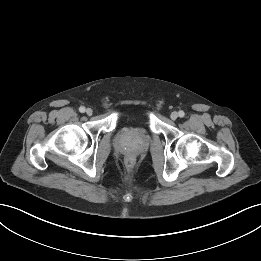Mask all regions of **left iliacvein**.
<instances>
[{"label": "left iliac vein", "instance_id": "1", "mask_svg": "<svg viewBox=\"0 0 261 261\" xmlns=\"http://www.w3.org/2000/svg\"><path fill=\"white\" fill-rule=\"evenodd\" d=\"M170 118L172 120H176L178 118V113L176 111L172 112L171 115H170Z\"/></svg>", "mask_w": 261, "mask_h": 261}]
</instances>
